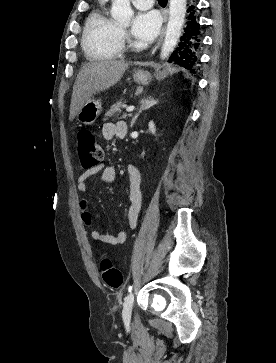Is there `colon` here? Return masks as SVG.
I'll return each mask as SVG.
<instances>
[{"label": "colon", "mask_w": 276, "mask_h": 363, "mask_svg": "<svg viewBox=\"0 0 276 363\" xmlns=\"http://www.w3.org/2000/svg\"><path fill=\"white\" fill-rule=\"evenodd\" d=\"M78 156L86 168L98 166L104 157V151L93 132L81 130L78 133ZM100 273L105 284L113 289L120 288L123 283L121 272L107 258L100 262Z\"/></svg>", "instance_id": "colon-1"}]
</instances>
